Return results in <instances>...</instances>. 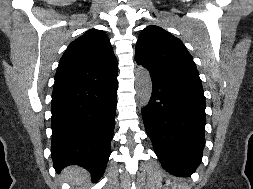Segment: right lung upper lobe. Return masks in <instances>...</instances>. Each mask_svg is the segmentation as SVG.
I'll use <instances>...</instances> for the list:
<instances>
[{
    "label": "right lung upper lobe",
    "instance_id": "1",
    "mask_svg": "<svg viewBox=\"0 0 253 189\" xmlns=\"http://www.w3.org/2000/svg\"><path fill=\"white\" fill-rule=\"evenodd\" d=\"M117 65L107 35L101 30L91 29L66 49L54 85L99 82L117 74Z\"/></svg>",
    "mask_w": 253,
    "mask_h": 189
}]
</instances>
